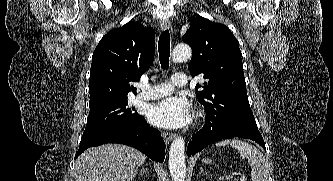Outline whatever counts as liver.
<instances>
[{"instance_id":"obj_1","label":"liver","mask_w":333,"mask_h":181,"mask_svg":"<svg viewBox=\"0 0 333 181\" xmlns=\"http://www.w3.org/2000/svg\"><path fill=\"white\" fill-rule=\"evenodd\" d=\"M146 156L120 144L87 149L75 163V181H133Z\"/></svg>"}]
</instances>
